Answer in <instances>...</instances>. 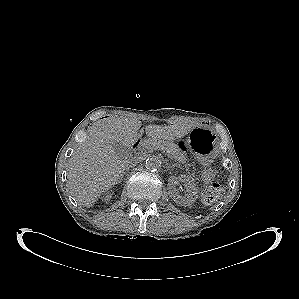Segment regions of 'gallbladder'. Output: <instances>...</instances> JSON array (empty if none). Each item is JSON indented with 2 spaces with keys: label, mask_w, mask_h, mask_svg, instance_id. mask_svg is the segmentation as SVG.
I'll use <instances>...</instances> for the list:
<instances>
[{
  "label": "gallbladder",
  "mask_w": 299,
  "mask_h": 299,
  "mask_svg": "<svg viewBox=\"0 0 299 299\" xmlns=\"http://www.w3.org/2000/svg\"><path fill=\"white\" fill-rule=\"evenodd\" d=\"M114 147L116 152L121 156H128L130 154L128 147H125L121 143H116Z\"/></svg>",
  "instance_id": "obj_1"
}]
</instances>
